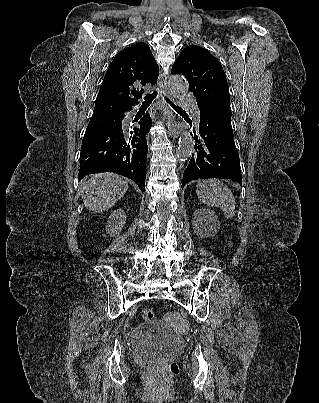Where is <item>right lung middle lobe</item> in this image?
I'll use <instances>...</instances> for the list:
<instances>
[{
  "label": "right lung middle lobe",
  "instance_id": "1",
  "mask_svg": "<svg viewBox=\"0 0 319 403\" xmlns=\"http://www.w3.org/2000/svg\"><path fill=\"white\" fill-rule=\"evenodd\" d=\"M104 113H108V112L98 110V109H94V114L93 115L104 114Z\"/></svg>",
  "mask_w": 319,
  "mask_h": 403
}]
</instances>
